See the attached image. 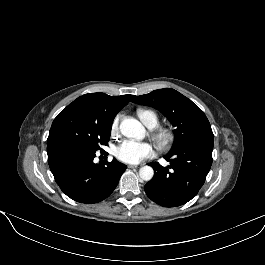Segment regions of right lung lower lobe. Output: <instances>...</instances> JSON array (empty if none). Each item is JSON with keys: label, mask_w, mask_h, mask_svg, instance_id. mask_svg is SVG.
<instances>
[{"label": "right lung lower lobe", "mask_w": 265, "mask_h": 265, "mask_svg": "<svg viewBox=\"0 0 265 265\" xmlns=\"http://www.w3.org/2000/svg\"><path fill=\"white\" fill-rule=\"evenodd\" d=\"M95 150L80 143L60 141L47 145L50 170L60 189L80 203H97L117 186L126 165L113 159L94 163Z\"/></svg>", "instance_id": "1"}]
</instances>
